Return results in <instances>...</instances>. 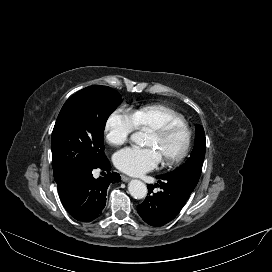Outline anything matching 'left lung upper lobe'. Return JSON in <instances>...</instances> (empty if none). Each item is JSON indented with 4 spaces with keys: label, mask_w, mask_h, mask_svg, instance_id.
<instances>
[{
    "label": "left lung upper lobe",
    "mask_w": 272,
    "mask_h": 272,
    "mask_svg": "<svg viewBox=\"0 0 272 272\" xmlns=\"http://www.w3.org/2000/svg\"><path fill=\"white\" fill-rule=\"evenodd\" d=\"M205 150L206 140L204 129L201 125H197L194 148L191 152L190 157L182 166L165 175L176 179H183L193 185H197L205 157Z\"/></svg>",
    "instance_id": "5c2ea615"
}]
</instances>
